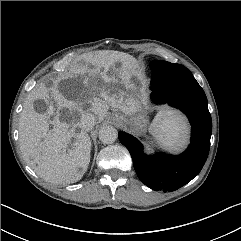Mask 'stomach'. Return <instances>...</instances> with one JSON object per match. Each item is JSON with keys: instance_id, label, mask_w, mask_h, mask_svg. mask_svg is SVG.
<instances>
[{"instance_id": "obj_1", "label": "stomach", "mask_w": 241, "mask_h": 241, "mask_svg": "<svg viewBox=\"0 0 241 241\" xmlns=\"http://www.w3.org/2000/svg\"><path fill=\"white\" fill-rule=\"evenodd\" d=\"M127 80L125 79H121V81H119V79L117 78L116 83L111 85V89H110V95L115 93L117 90H122L121 89V84H126ZM148 107L146 106V104L144 102H141L138 111L136 113H134L131 116H127L125 114H120V115H116V118H119V120L126 126L131 127L134 130H143L146 128L147 126V113Z\"/></svg>"}]
</instances>
